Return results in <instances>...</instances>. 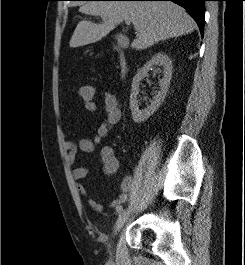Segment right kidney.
<instances>
[{
	"label": "right kidney",
	"instance_id": "1",
	"mask_svg": "<svg viewBox=\"0 0 245 265\" xmlns=\"http://www.w3.org/2000/svg\"><path fill=\"white\" fill-rule=\"evenodd\" d=\"M155 66L163 67V78L159 81L160 91H158V93L153 97L150 105L140 110V100L138 99L140 83L142 79L148 76L149 70ZM171 77L172 61L164 53L155 54L149 61L144 64L141 69H139V71L133 78L130 95V109L132 113V119L135 123L146 121L158 109V107L164 101L165 96L168 92Z\"/></svg>",
	"mask_w": 245,
	"mask_h": 265
}]
</instances>
